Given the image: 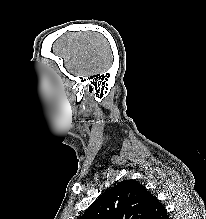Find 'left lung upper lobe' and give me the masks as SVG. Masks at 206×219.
<instances>
[{
  "label": "left lung upper lobe",
  "instance_id": "5c2ea615",
  "mask_svg": "<svg viewBox=\"0 0 206 219\" xmlns=\"http://www.w3.org/2000/svg\"><path fill=\"white\" fill-rule=\"evenodd\" d=\"M153 197L139 182L124 180L106 190L77 219H147Z\"/></svg>",
  "mask_w": 206,
  "mask_h": 219
}]
</instances>
